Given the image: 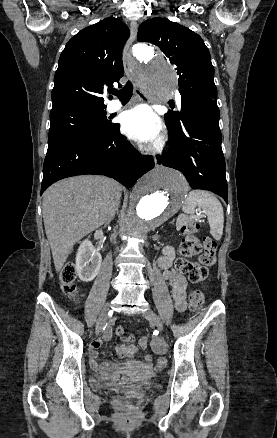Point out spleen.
Listing matches in <instances>:
<instances>
[{
  "label": "spleen",
  "mask_w": 277,
  "mask_h": 438,
  "mask_svg": "<svg viewBox=\"0 0 277 438\" xmlns=\"http://www.w3.org/2000/svg\"><path fill=\"white\" fill-rule=\"evenodd\" d=\"M197 206L202 208L208 216L211 236L214 240H220L224 228V214L219 200L210 192H205V190H193V192H189L186 198L183 212L185 214H194Z\"/></svg>",
  "instance_id": "spleen-1"
}]
</instances>
